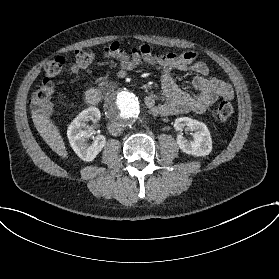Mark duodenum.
<instances>
[{
	"instance_id": "duodenum-1",
	"label": "duodenum",
	"mask_w": 279,
	"mask_h": 279,
	"mask_svg": "<svg viewBox=\"0 0 279 279\" xmlns=\"http://www.w3.org/2000/svg\"><path fill=\"white\" fill-rule=\"evenodd\" d=\"M115 87L113 81H104L99 86L88 89L85 94L86 103L96 105L102 96L110 94Z\"/></svg>"
}]
</instances>
